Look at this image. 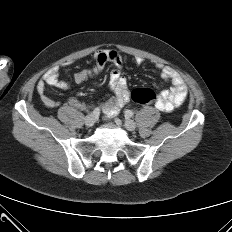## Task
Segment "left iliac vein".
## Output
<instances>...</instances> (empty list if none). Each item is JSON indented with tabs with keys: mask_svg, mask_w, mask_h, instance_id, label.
Wrapping results in <instances>:
<instances>
[{
	"mask_svg": "<svg viewBox=\"0 0 232 232\" xmlns=\"http://www.w3.org/2000/svg\"><path fill=\"white\" fill-rule=\"evenodd\" d=\"M124 125H125L126 129L129 131H133L136 128L135 122L131 119H125Z\"/></svg>",
	"mask_w": 232,
	"mask_h": 232,
	"instance_id": "left-iliac-vein-1",
	"label": "left iliac vein"
}]
</instances>
